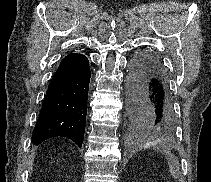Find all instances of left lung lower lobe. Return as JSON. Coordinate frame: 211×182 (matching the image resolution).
I'll list each match as a JSON object with an SVG mask.
<instances>
[{
    "instance_id": "0a47b994",
    "label": "left lung lower lobe",
    "mask_w": 211,
    "mask_h": 182,
    "mask_svg": "<svg viewBox=\"0 0 211 182\" xmlns=\"http://www.w3.org/2000/svg\"><path fill=\"white\" fill-rule=\"evenodd\" d=\"M128 97L137 121L152 128L160 137L171 136L175 116L167 77L158 56L148 50L139 51L132 59L128 76Z\"/></svg>"
}]
</instances>
